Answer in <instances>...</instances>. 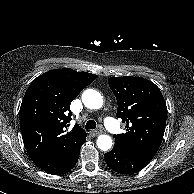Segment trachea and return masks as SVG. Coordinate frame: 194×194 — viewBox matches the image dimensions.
Returning <instances> with one entry per match:
<instances>
[{
	"label": "trachea",
	"mask_w": 194,
	"mask_h": 194,
	"mask_svg": "<svg viewBox=\"0 0 194 194\" xmlns=\"http://www.w3.org/2000/svg\"><path fill=\"white\" fill-rule=\"evenodd\" d=\"M85 128L87 130L95 129L96 128V122L94 120H88L86 125H85Z\"/></svg>",
	"instance_id": "1"
}]
</instances>
